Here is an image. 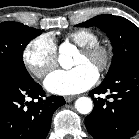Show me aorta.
<instances>
[{
    "label": "aorta",
    "instance_id": "762f6f07",
    "mask_svg": "<svg viewBox=\"0 0 139 139\" xmlns=\"http://www.w3.org/2000/svg\"><path fill=\"white\" fill-rule=\"evenodd\" d=\"M76 48L68 43H63L59 48L58 61L62 68L70 69L73 66L72 56ZM76 110L81 114H89L93 109V102L88 97H80L75 102Z\"/></svg>",
    "mask_w": 139,
    "mask_h": 139
}]
</instances>
